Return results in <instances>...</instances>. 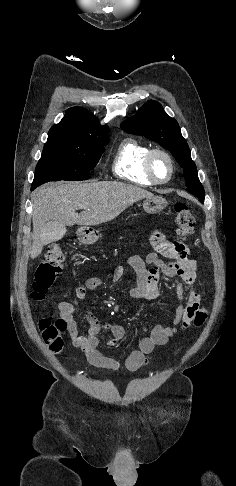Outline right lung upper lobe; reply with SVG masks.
<instances>
[{
    "mask_svg": "<svg viewBox=\"0 0 236 486\" xmlns=\"http://www.w3.org/2000/svg\"><path fill=\"white\" fill-rule=\"evenodd\" d=\"M108 128L99 124L98 119L82 107H72L66 111L60 123L49 130V136H67L80 140L97 142L108 138Z\"/></svg>",
    "mask_w": 236,
    "mask_h": 486,
    "instance_id": "right-lung-upper-lobe-1",
    "label": "right lung upper lobe"
}]
</instances>
